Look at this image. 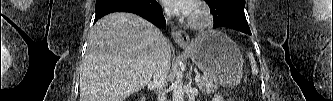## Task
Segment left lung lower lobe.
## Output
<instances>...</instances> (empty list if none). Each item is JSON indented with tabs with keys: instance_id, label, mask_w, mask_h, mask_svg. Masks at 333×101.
<instances>
[{
	"instance_id": "1",
	"label": "left lung lower lobe",
	"mask_w": 333,
	"mask_h": 101,
	"mask_svg": "<svg viewBox=\"0 0 333 101\" xmlns=\"http://www.w3.org/2000/svg\"><path fill=\"white\" fill-rule=\"evenodd\" d=\"M211 7V12L214 17L215 26L228 27L243 33L251 35L246 17L236 16L233 10H243L245 0H206ZM231 6L230 10H223L226 6Z\"/></svg>"
}]
</instances>
